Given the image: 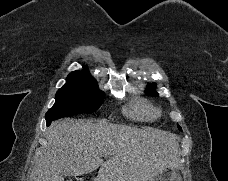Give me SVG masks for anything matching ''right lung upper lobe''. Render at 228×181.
Returning <instances> with one entry per match:
<instances>
[{"mask_svg":"<svg viewBox=\"0 0 228 181\" xmlns=\"http://www.w3.org/2000/svg\"><path fill=\"white\" fill-rule=\"evenodd\" d=\"M97 83L90 73L84 69L82 71H74L67 77V82L64 86L85 85Z\"/></svg>","mask_w":228,"mask_h":181,"instance_id":"right-lung-upper-lobe-1","label":"right lung upper lobe"}]
</instances>
